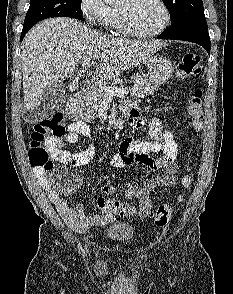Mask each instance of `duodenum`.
Listing matches in <instances>:
<instances>
[{
  "instance_id": "410a0bca",
  "label": "duodenum",
  "mask_w": 233,
  "mask_h": 294,
  "mask_svg": "<svg viewBox=\"0 0 233 294\" xmlns=\"http://www.w3.org/2000/svg\"><path fill=\"white\" fill-rule=\"evenodd\" d=\"M80 101H81V94H79V93L73 94L69 97V99L66 103V107H65L66 115L69 118H75L77 116ZM127 112H128V116H129V123L131 125V121L134 116L133 115L134 111L132 108H128Z\"/></svg>"
}]
</instances>
